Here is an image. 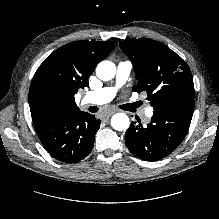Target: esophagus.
Returning <instances> with one entry per match:
<instances>
[{
  "mask_svg": "<svg viewBox=\"0 0 219 219\" xmlns=\"http://www.w3.org/2000/svg\"><path fill=\"white\" fill-rule=\"evenodd\" d=\"M115 112H118V110L115 109V108H113L108 114H104V115H103V121H104V122H107L108 119H109V117H110L113 113H115Z\"/></svg>",
  "mask_w": 219,
  "mask_h": 219,
  "instance_id": "obj_1",
  "label": "esophagus"
}]
</instances>
